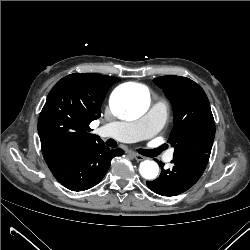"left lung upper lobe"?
<instances>
[{
    "instance_id": "1",
    "label": "left lung upper lobe",
    "mask_w": 250,
    "mask_h": 250,
    "mask_svg": "<svg viewBox=\"0 0 250 250\" xmlns=\"http://www.w3.org/2000/svg\"><path fill=\"white\" fill-rule=\"evenodd\" d=\"M154 82L172 103L174 127L168 142L174 158L189 154H209L215 136V122L203 89L186 77L162 76Z\"/></svg>"
}]
</instances>
